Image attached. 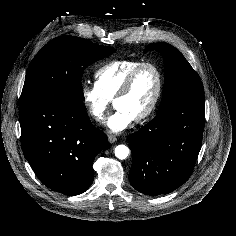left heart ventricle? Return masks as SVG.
Returning <instances> with one entry per match:
<instances>
[{
  "mask_svg": "<svg viewBox=\"0 0 236 236\" xmlns=\"http://www.w3.org/2000/svg\"><path fill=\"white\" fill-rule=\"evenodd\" d=\"M156 89V73L152 68L146 67L137 75L128 94L115 103V107L122 108L136 118L148 109Z\"/></svg>",
  "mask_w": 236,
  "mask_h": 236,
  "instance_id": "b2bd125f",
  "label": "left heart ventricle"
}]
</instances>
